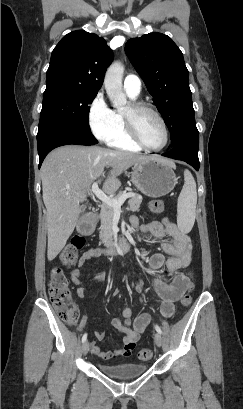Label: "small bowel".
<instances>
[{
	"label": "small bowel",
	"mask_w": 243,
	"mask_h": 409,
	"mask_svg": "<svg viewBox=\"0 0 243 409\" xmlns=\"http://www.w3.org/2000/svg\"><path fill=\"white\" fill-rule=\"evenodd\" d=\"M132 226L139 230L143 236H153L162 241V249L168 258L162 253H155L149 258L148 264L152 272L156 273L164 265L170 282L164 281L160 276L155 275L153 285L156 293L161 298L160 312L165 317H170L174 312V303L181 298L184 291L187 289L190 279L182 272L184 267H187L192 258V242L191 239L182 232L176 223L168 218L162 220H151L139 224L136 217L131 218ZM169 237L168 241H164L165 236ZM100 248H91L85 251L78 261V266L70 272L71 281L74 285L79 286L76 290V295L79 298L84 297L85 287L82 286V268L90 260L101 256ZM106 279L105 272H99L94 277L95 282H103ZM139 292H143V285L138 283L136 286ZM118 293V291H116ZM89 319L84 316L81 321V327L88 324ZM132 323V309L126 307L121 312V317H116L112 321L113 327L120 333L124 334L122 347L114 350H102L98 344L91 343V351L94 355L104 359L126 358L131 355L135 349L136 342L140 338V334L145 331L150 323V315L148 313L139 314L134 322L133 328H130ZM98 340L104 339L103 332H96Z\"/></svg>",
	"instance_id": "1"
}]
</instances>
